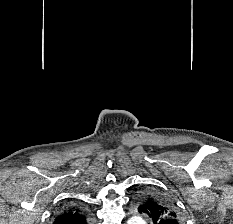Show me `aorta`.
I'll return each mask as SVG.
<instances>
[{"mask_svg": "<svg viewBox=\"0 0 233 224\" xmlns=\"http://www.w3.org/2000/svg\"><path fill=\"white\" fill-rule=\"evenodd\" d=\"M127 224H146V222L139 216H134L127 221Z\"/></svg>", "mask_w": 233, "mask_h": 224, "instance_id": "obj_1", "label": "aorta"}]
</instances>
